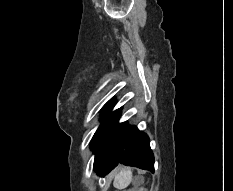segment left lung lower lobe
<instances>
[{
	"label": "left lung lower lobe",
	"instance_id": "left-lung-lower-lobe-1",
	"mask_svg": "<svg viewBox=\"0 0 233 191\" xmlns=\"http://www.w3.org/2000/svg\"><path fill=\"white\" fill-rule=\"evenodd\" d=\"M119 116L120 112L92 147L95 172L104 176L118 163L154 172V155L148 136L127 122L118 123Z\"/></svg>",
	"mask_w": 233,
	"mask_h": 191
}]
</instances>
